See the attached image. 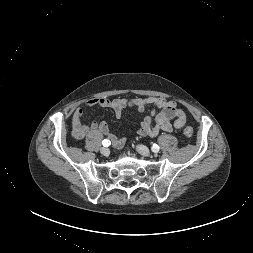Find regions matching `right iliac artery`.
I'll return each mask as SVG.
<instances>
[{"label": "right iliac artery", "mask_w": 253, "mask_h": 253, "mask_svg": "<svg viewBox=\"0 0 253 253\" xmlns=\"http://www.w3.org/2000/svg\"><path fill=\"white\" fill-rule=\"evenodd\" d=\"M102 144H103L104 147H106V146H109L111 144V141L108 140V139H105V140H103Z\"/></svg>", "instance_id": "82829eb1"}]
</instances>
